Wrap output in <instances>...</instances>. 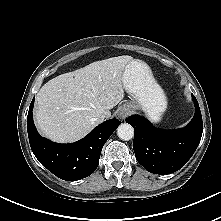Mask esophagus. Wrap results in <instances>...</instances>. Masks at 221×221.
<instances>
[{
  "instance_id": "esophagus-1",
  "label": "esophagus",
  "mask_w": 221,
  "mask_h": 221,
  "mask_svg": "<svg viewBox=\"0 0 221 221\" xmlns=\"http://www.w3.org/2000/svg\"><path fill=\"white\" fill-rule=\"evenodd\" d=\"M131 113H132V109L129 106H124L118 110L117 116L118 118L125 120L126 117H128Z\"/></svg>"
}]
</instances>
